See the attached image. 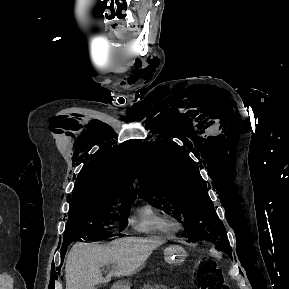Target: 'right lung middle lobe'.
I'll return each mask as SVG.
<instances>
[{
    "instance_id": "obj_1",
    "label": "right lung middle lobe",
    "mask_w": 289,
    "mask_h": 289,
    "mask_svg": "<svg viewBox=\"0 0 289 289\" xmlns=\"http://www.w3.org/2000/svg\"><path fill=\"white\" fill-rule=\"evenodd\" d=\"M133 201L118 197L72 199L62 247L74 240L96 241L114 236L107 230L111 220L118 221L122 231Z\"/></svg>"
}]
</instances>
